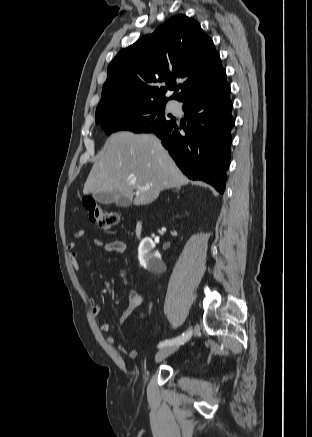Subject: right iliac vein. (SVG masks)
Masks as SVG:
<instances>
[{"mask_svg":"<svg viewBox=\"0 0 312 437\" xmlns=\"http://www.w3.org/2000/svg\"><path fill=\"white\" fill-rule=\"evenodd\" d=\"M179 348V344H172V345H168L163 347L162 349H160L156 356H155V361L161 362L162 360H164L165 358H167L169 355L173 354L177 349Z\"/></svg>","mask_w":312,"mask_h":437,"instance_id":"right-iliac-vein-1","label":"right iliac vein"}]
</instances>
